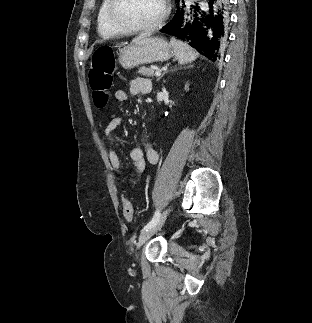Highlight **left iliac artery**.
Returning a JSON list of instances; mask_svg holds the SVG:
<instances>
[{"label": "left iliac artery", "mask_w": 312, "mask_h": 323, "mask_svg": "<svg viewBox=\"0 0 312 323\" xmlns=\"http://www.w3.org/2000/svg\"><path fill=\"white\" fill-rule=\"evenodd\" d=\"M160 218V211L157 210L152 218V220L143 228V230H147L148 228L156 225Z\"/></svg>", "instance_id": "1"}]
</instances>
